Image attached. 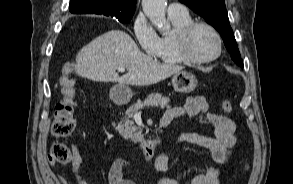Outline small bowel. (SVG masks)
<instances>
[{"label":"small bowel","instance_id":"small-bowel-1","mask_svg":"<svg viewBox=\"0 0 293 184\" xmlns=\"http://www.w3.org/2000/svg\"><path fill=\"white\" fill-rule=\"evenodd\" d=\"M203 114L205 120L214 128V136L209 137L197 133H182L176 143L191 144L208 150L213 160L220 167H210L207 170L196 174L189 184H219L222 168L232 154L235 146L236 125L230 118L216 114L209 110L206 99L202 96L189 97L183 106L169 108L165 111L162 120L171 122L181 117L194 118ZM72 172L76 184H87L80 175L82 156L77 148L73 149L71 157ZM52 166L55 163H50ZM130 163L126 159H116L111 163L107 171L108 184H137L135 181L125 177V171L129 169ZM169 169V151H163L155 157V171L157 173L156 184H182L180 181L167 175ZM58 184H69L68 181L58 175Z\"/></svg>","mask_w":293,"mask_h":184}]
</instances>
